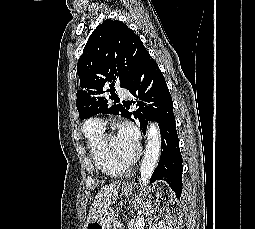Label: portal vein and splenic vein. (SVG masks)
<instances>
[{
  "label": "portal vein and splenic vein",
  "instance_id": "18ae733b",
  "mask_svg": "<svg viewBox=\"0 0 255 229\" xmlns=\"http://www.w3.org/2000/svg\"><path fill=\"white\" fill-rule=\"evenodd\" d=\"M123 224L122 223H118L117 227L118 228H122Z\"/></svg>",
  "mask_w": 255,
  "mask_h": 229
}]
</instances>
